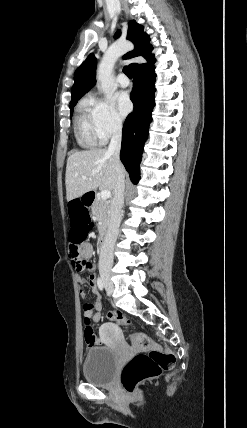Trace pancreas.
<instances>
[{
  "label": "pancreas",
  "mask_w": 247,
  "mask_h": 428,
  "mask_svg": "<svg viewBox=\"0 0 247 428\" xmlns=\"http://www.w3.org/2000/svg\"><path fill=\"white\" fill-rule=\"evenodd\" d=\"M92 214L97 220H101L99 229H104L109 221L110 215V203L106 200H103L101 197H97L96 201L92 206Z\"/></svg>",
  "instance_id": "1"
}]
</instances>
